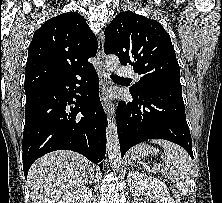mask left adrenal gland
Here are the masks:
<instances>
[{"label":"left adrenal gland","mask_w":222,"mask_h":203,"mask_svg":"<svg viewBox=\"0 0 222 203\" xmlns=\"http://www.w3.org/2000/svg\"><path fill=\"white\" fill-rule=\"evenodd\" d=\"M132 165H133V163L131 162V159H129V160H128V167H129V166H132Z\"/></svg>","instance_id":"1"}]
</instances>
